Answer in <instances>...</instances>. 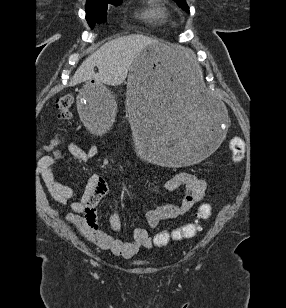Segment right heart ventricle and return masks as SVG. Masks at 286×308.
<instances>
[{
  "instance_id": "right-heart-ventricle-1",
  "label": "right heart ventricle",
  "mask_w": 286,
  "mask_h": 308,
  "mask_svg": "<svg viewBox=\"0 0 286 308\" xmlns=\"http://www.w3.org/2000/svg\"><path fill=\"white\" fill-rule=\"evenodd\" d=\"M140 15L143 19L150 22L164 23L169 13L163 0H146V4L142 8Z\"/></svg>"
}]
</instances>
